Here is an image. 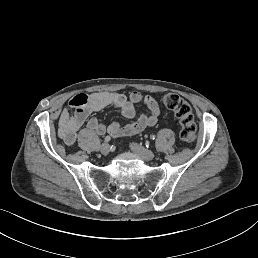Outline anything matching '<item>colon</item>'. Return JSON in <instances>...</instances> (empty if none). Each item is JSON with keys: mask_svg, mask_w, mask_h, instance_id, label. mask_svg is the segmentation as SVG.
<instances>
[{"mask_svg": "<svg viewBox=\"0 0 258 258\" xmlns=\"http://www.w3.org/2000/svg\"><path fill=\"white\" fill-rule=\"evenodd\" d=\"M162 100L179 121L181 139L186 142H193L196 138V124L189 103L173 93L164 95Z\"/></svg>", "mask_w": 258, "mask_h": 258, "instance_id": "colon-1", "label": "colon"}]
</instances>
